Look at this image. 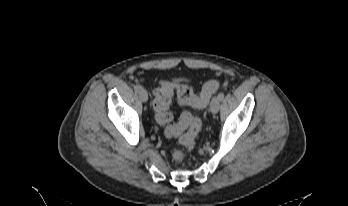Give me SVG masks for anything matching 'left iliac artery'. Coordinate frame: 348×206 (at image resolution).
Segmentation results:
<instances>
[{
  "label": "left iliac artery",
  "instance_id": "44dca946",
  "mask_svg": "<svg viewBox=\"0 0 348 206\" xmlns=\"http://www.w3.org/2000/svg\"><path fill=\"white\" fill-rule=\"evenodd\" d=\"M217 97H218V99L220 101L223 100L224 99V93L223 92L219 93Z\"/></svg>",
  "mask_w": 348,
  "mask_h": 206
}]
</instances>
